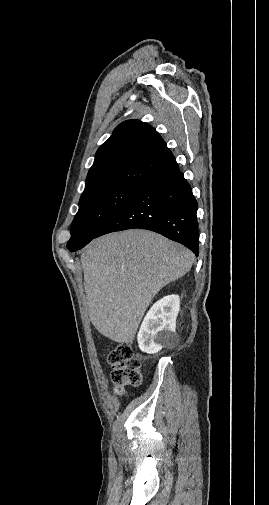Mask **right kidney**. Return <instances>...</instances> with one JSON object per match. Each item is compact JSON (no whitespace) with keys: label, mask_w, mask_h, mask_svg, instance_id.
Here are the masks:
<instances>
[{"label":"right kidney","mask_w":269,"mask_h":505,"mask_svg":"<svg viewBox=\"0 0 269 505\" xmlns=\"http://www.w3.org/2000/svg\"><path fill=\"white\" fill-rule=\"evenodd\" d=\"M180 310L178 295L157 301L146 314L137 335L139 348L154 354L176 339V318Z\"/></svg>","instance_id":"obj_1"}]
</instances>
